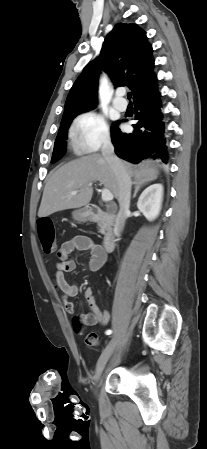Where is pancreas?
<instances>
[{"instance_id": "1", "label": "pancreas", "mask_w": 207, "mask_h": 449, "mask_svg": "<svg viewBox=\"0 0 207 449\" xmlns=\"http://www.w3.org/2000/svg\"><path fill=\"white\" fill-rule=\"evenodd\" d=\"M98 226H99V233L104 234V235H105L106 232L109 231V229H110V225H109V223L106 222V221H100V222L98 223Z\"/></svg>"}]
</instances>
